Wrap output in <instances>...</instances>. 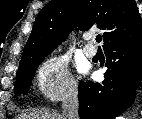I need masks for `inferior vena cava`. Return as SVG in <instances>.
Here are the masks:
<instances>
[{"label": "inferior vena cava", "instance_id": "1", "mask_svg": "<svg viewBox=\"0 0 142 119\" xmlns=\"http://www.w3.org/2000/svg\"><path fill=\"white\" fill-rule=\"evenodd\" d=\"M62 109L64 119H79V101L77 88L74 87L70 89L69 92L64 96L62 100Z\"/></svg>", "mask_w": 142, "mask_h": 119}]
</instances>
